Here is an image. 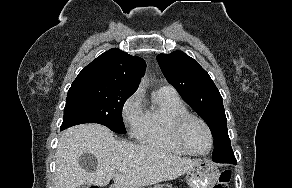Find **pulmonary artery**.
Masks as SVG:
<instances>
[{"label": "pulmonary artery", "mask_w": 292, "mask_h": 188, "mask_svg": "<svg viewBox=\"0 0 292 188\" xmlns=\"http://www.w3.org/2000/svg\"><path fill=\"white\" fill-rule=\"evenodd\" d=\"M160 89L171 91V92H175L174 88L172 86H170V85L163 86Z\"/></svg>", "instance_id": "obj_1"}]
</instances>
